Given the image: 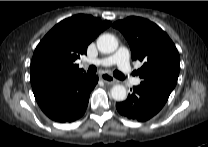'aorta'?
<instances>
[{
  "label": "aorta",
  "instance_id": "762f6f07",
  "mask_svg": "<svg viewBox=\"0 0 208 147\" xmlns=\"http://www.w3.org/2000/svg\"><path fill=\"white\" fill-rule=\"evenodd\" d=\"M98 50L102 53H113L118 48V41L112 34H102L97 39ZM111 96L116 101H123L127 97L126 88L123 85H115L111 89Z\"/></svg>",
  "mask_w": 208,
  "mask_h": 147
}]
</instances>
